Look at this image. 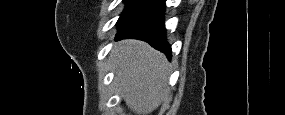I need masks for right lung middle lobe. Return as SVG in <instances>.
Instances as JSON below:
<instances>
[{"instance_id":"1","label":"right lung middle lobe","mask_w":285,"mask_h":115,"mask_svg":"<svg viewBox=\"0 0 285 115\" xmlns=\"http://www.w3.org/2000/svg\"><path fill=\"white\" fill-rule=\"evenodd\" d=\"M126 3L125 9L120 15L117 21V26L120 27L122 24L127 22L132 17L152 7L159 0H123Z\"/></svg>"}]
</instances>
